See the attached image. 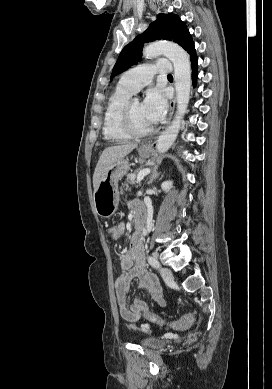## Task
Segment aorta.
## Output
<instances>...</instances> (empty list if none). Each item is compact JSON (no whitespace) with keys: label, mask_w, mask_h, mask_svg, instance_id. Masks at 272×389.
Returning <instances> with one entry per match:
<instances>
[{"label":"aorta","mask_w":272,"mask_h":389,"mask_svg":"<svg viewBox=\"0 0 272 389\" xmlns=\"http://www.w3.org/2000/svg\"><path fill=\"white\" fill-rule=\"evenodd\" d=\"M146 58L166 56L174 66V80L177 98V114L172 123L158 137L156 149L166 152L174 143L179 133L183 117L188 107L191 90V63L187 52L171 42H154L143 50Z\"/></svg>","instance_id":"aorta-1"}]
</instances>
